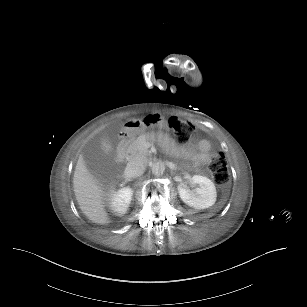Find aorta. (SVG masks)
<instances>
[{
  "mask_svg": "<svg viewBox=\"0 0 307 307\" xmlns=\"http://www.w3.org/2000/svg\"><path fill=\"white\" fill-rule=\"evenodd\" d=\"M165 172V166L162 163L154 164L152 167V173L155 176H161Z\"/></svg>",
  "mask_w": 307,
  "mask_h": 307,
  "instance_id": "obj_1",
  "label": "aorta"
}]
</instances>
